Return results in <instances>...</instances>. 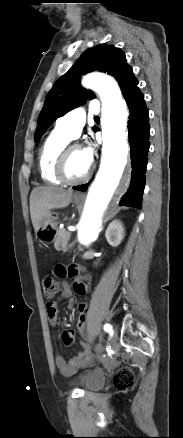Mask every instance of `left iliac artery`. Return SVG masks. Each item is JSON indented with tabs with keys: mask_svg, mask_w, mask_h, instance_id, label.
<instances>
[{
	"mask_svg": "<svg viewBox=\"0 0 183 438\" xmlns=\"http://www.w3.org/2000/svg\"><path fill=\"white\" fill-rule=\"evenodd\" d=\"M104 330L106 331V332H112V326L110 325V324H105L104 325Z\"/></svg>",
	"mask_w": 183,
	"mask_h": 438,
	"instance_id": "obj_1",
	"label": "left iliac artery"
}]
</instances>
